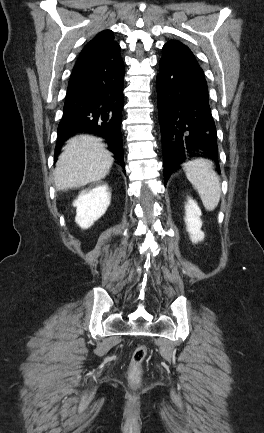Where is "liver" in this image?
I'll return each mask as SVG.
<instances>
[{
	"label": "liver",
	"instance_id": "liver-1",
	"mask_svg": "<svg viewBox=\"0 0 264 433\" xmlns=\"http://www.w3.org/2000/svg\"><path fill=\"white\" fill-rule=\"evenodd\" d=\"M54 172L56 190L79 188L98 182L109 173L112 154L99 138L79 135L68 140Z\"/></svg>",
	"mask_w": 264,
	"mask_h": 433
}]
</instances>
